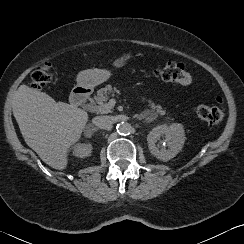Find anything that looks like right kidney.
Segmentation results:
<instances>
[{"label": "right kidney", "instance_id": "ca27d5eb", "mask_svg": "<svg viewBox=\"0 0 244 244\" xmlns=\"http://www.w3.org/2000/svg\"><path fill=\"white\" fill-rule=\"evenodd\" d=\"M92 153V145L87 143H78L74 146L73 155L79 158H85Z\"/></svg>", "mask_w": 244, "mask_h": 244}]
</instances>
